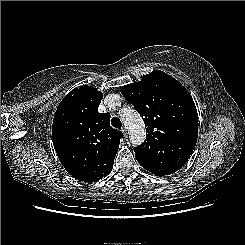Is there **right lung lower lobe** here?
<instances>
[{"instance_id":"98d812e1","label":"right lung lower lobe","mask_w":245,"mask_h":245,"mask_svg":"<svg viewBox=\"0 0 245 245\" xmlns=\"http://www.w3.org/2000/svg\"><path fill=\"white\" fill-rule=\"evenodd\" d=\"M73 177H75L76 179H79L80 180V177L78 174H72Z\"/></svg>"}]
</instances>
